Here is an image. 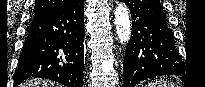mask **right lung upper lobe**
I'll use <instances>...</instances> for the list:
<instances>
[{
	"mask_svg": "<svg viewBox=\"0 0 205 87\" xmlns=\"http://www.w3.org/2000/svg\"><path fill=\"white\" fill-rule=\"evenodd\" d=\"M76 0H36L34 16L45 15L67 7Z\"/></svg>",
	"mask_w": 205,
	"mask_h": 87,
	"instance_id": "1",
	"label": "right lung upper lobe"
}]
</instances>
